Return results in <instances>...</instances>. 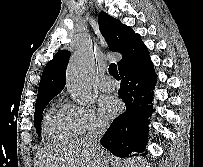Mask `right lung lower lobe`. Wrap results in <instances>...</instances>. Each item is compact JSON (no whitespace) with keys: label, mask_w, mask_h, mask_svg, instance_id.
Returning a JSON list of instances; mask_svg holds the SVG:
<instances>
[{"label":"right lung lower lobe","mask_w":203,"mask_h":167,"mask_svg":"<svg viewBox=\"0 0 203 167\" xmlns=\"http://www.w3.org/2000/svg\"><path fill=\"white\" fill-rule=\"evenodd\" d=\"M120 76L122 82L118 95L123 99L126 111L113 120L100 143L115 156L124 157L132 151H145L156 74L148 57L133 68L120 72Z\"/></svg>","instance_id":"1"}]
</instances>
